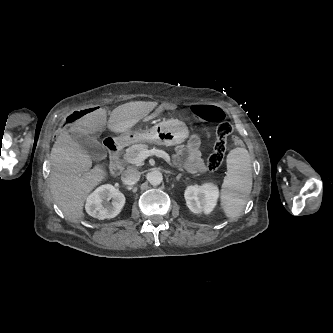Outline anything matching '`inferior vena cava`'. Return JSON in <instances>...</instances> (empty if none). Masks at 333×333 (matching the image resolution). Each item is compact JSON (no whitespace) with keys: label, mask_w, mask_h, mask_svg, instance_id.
Here are the masks:
<instances>
[{"label":"inferior vena cava","mask_w":333,"mask_h":333,"mask_svg":"<svg viewBox=\"0 0 333 333\" xmlns=\"http://www.w3.org/2000/svg\"><path fill=\"white\" fill-rule=\"evenodd\" d=\"M122 182L126 185H133L140 179V172L135 168H128L121 176Z\"/></svg>","instance_id":"obj_1"}]
</instances>
